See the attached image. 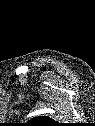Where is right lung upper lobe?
<instances>
[{
	"label": "right lung upper lobe",
	"mask_w": 95,
	"mask_h": 126,
	"mask_svg": "<svg viewBox=\"0 0 95 126\" xmlns=\"http://www.w3.org/2000/svg\"><path fill=\"white\" fill-rule=\"evenodd\" d=\"M58 123L49 117L39 116L27 123L29 126H56Z\"/></svg>",
	"instance_id": "right-lung-upper-lobe-1"
}]
</instances>
